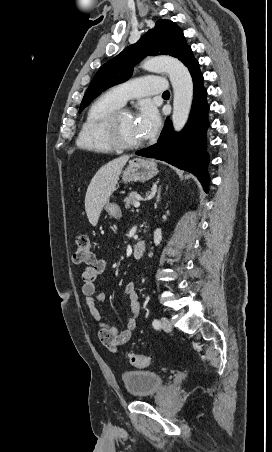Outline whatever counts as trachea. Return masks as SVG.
<instances>
[{"mask_svg":"<svg viewBox=\"0 0 272 452\" xmlns=\"http://www.w3.org/2000/svg\"><path fill=\"white\" fill-rule=\"evenodd\" d=\"M169 94H170L169 91H165V92L163 93V95H169Z\"/></svg>","mask_w":272,"mask_h":452,"instance_id":"3493384b","label":"trachea"}]
</instances>
